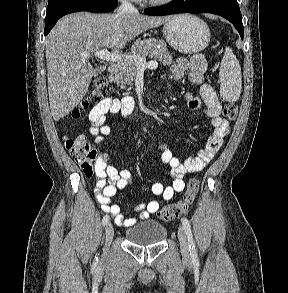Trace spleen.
I'll list each match as a JSON object with an SVG mask.
<instances>
[{"mask_svg": "<svg viewBox=\"0 0 288 293\" xmlns=\"http://www.w3.org/2000/svg\"><path fill=\"white\" fill-rule=\"evenodd\" d=\"M219 80L221 97L229 102L237 101L242 88L241 67L229 47L225 48V54L221 61Z\"/></svg>", "mask_w": 288, "mask_h": 293, "instance_id": "3e777b00", "label": "spleen"}]
</instances>
